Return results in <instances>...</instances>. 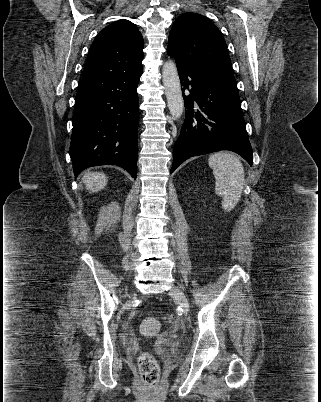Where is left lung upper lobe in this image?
<instances>
[{
    "label": "left lung upper lobe",
    "mask_w": 321,
    "mask_h": 402,
    "mask_svg": "<svg viewBox=\"0 0 321 402\" xmlns=\"http://www.w3.org/2000/svg\"><path fill=\"white\" fill-rule=\"evenodd\" d=\"M167 52L193 68L233 75L221 32L200 14L188 12L176 19L170 31Z\"/></svg>",
    "instance_id": "1"
}]
</instances>
